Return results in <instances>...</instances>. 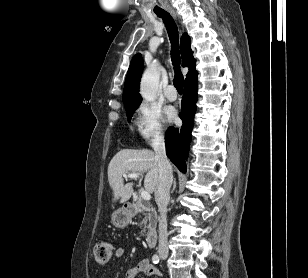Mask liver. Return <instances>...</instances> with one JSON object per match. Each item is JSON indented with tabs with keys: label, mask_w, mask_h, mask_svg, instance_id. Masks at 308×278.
I'll use <instances>...</instances> for the list:
<instances>
[{
	"label": "liver",
	"mask_w": 308,
	"mask_h": 278,
	"mask_svg": "<svg viewBox=\"0 0 308 278\" xmlns=\"http://www.w3.org/2000/svg\"><path fill=\"white\" fill-rule=\"evenodd\" d=\"M146 173L144 187L153 193L159 179V167L156 154L148 149H122L110 161L108 166V181L113 190L114 201H128L133 193L134 183L124 184L123 174Z\"/></svg>",
	"instance_id": "liver-1"
}]
</instances>
